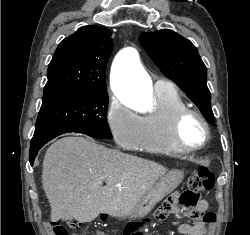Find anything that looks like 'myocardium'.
Instances as JSON below:
<instances>
[{
	"mask_svg": "<svg viewBox=\"0 0 250 235\" xmlns=\"http://www.w3.org/2000/svg\"><path fill=\"white\" fill-rule=\"evenodd\" d=\"M191 116L196 117L201 122L204 129V138L197 146L187 145L181 138V127L184 121ZM170 133L173 143L184 152L199 151L203 149L210 140V127L207 119L200 111L189 107H185L174 114L171 121Z\"/></svg>",
	"mask_w": 250,
	"mask_h": 235,
	"instance_id": "myocardium-1",
	"label": "myocardium"
}]
</instances>
